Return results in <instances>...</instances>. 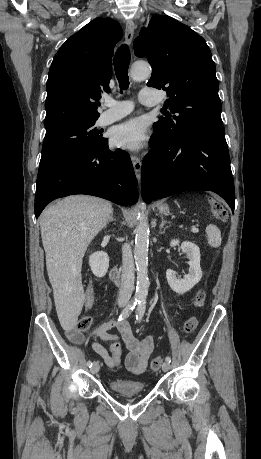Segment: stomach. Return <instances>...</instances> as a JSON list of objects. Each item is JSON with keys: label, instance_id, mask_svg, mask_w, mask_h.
<instances>
[{"label": "stomach", "instance_id": "1", "mask_svg": "<svg viewBox=\"0 0 261 459\" xmlns=\"http://www.w3.org/2000/svg\"><path fill=\"white\" fill-rule=\"evenodd\" d=\"M158 210L162 213V214H165L168 212V206L166 204H163V205H160L158 207Z\"/></svg>", "mask_w": 261, "mask_h": 459}]
</instances>
